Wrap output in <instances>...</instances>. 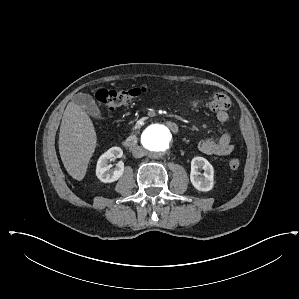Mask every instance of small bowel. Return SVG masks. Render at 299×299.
I'll list each match as a JSON object with an SVG mask.
<instances>
[{
  "instance_id": "c3829d8e",
  "label": "small bowel",
  "mask_w": 299,
  "mask_h": 299,
  "mask_svg": "<svg viewBox=\"0 0 299 299\" xmlns=\"http://www.w3.org/2000/svg\"><path fill=\"white\" fill-rule=\"evenodd\" d=\"M189 106L209 109L221 123H225L229 119L230 99L223 93L213 94L206 99H193L189 102ZM198 149L207 155L226 156L233 152L234 145L231 142L230 134L225 132L218 139L211 137L202 139L198 143Z\"/></svg>"
}]
</instances>
